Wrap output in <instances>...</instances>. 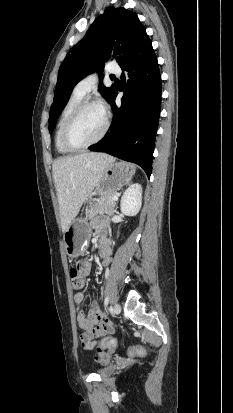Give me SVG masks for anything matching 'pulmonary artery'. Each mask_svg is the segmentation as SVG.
I'll use <instances>...</instances> for the list:
<instances>
[{"label": "pulmonary artery", "mask_w": 233, "mask_h": 413, "mask_svg": "<svg viewBox=\"0 0 233 413\" xmlns=\"http://www.w3.org/2000/svg\"><path fill=\"white\" fill-rule=\"evenodd\" d=\"M108 72L119 74L120 68L117 65H110ZM97 81L98 76L96 74H90L77 83L74 92L81 96H86L96 86Z\"/></svg>", "instance_id": "pulmonary-artery-1"}]
</instances>
